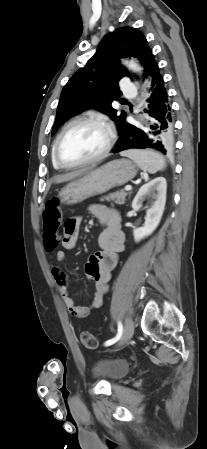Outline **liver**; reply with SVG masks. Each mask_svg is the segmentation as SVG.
Instances as JSON below:
<instances>
[{
    "label": "liver",
    "instance_id": "obj_1",
    "mask_svg": "<svg viewBox=\"0 0 207 449\" xmlns=\"http://www.w3.org/2000/svg\"><path fill=\"white\" fill-rule=\"evenodd\" d=\"M88 171H90V168L89 169H81V170H78V171H73V172H70V173H67V174H64V175H59V176H57L55 178L54 182L56 184H59V183L71 181V180H73V179H75L77 177H80V176L84 175Z\"/></svg>",
    "mask_w": 207,
    "mask_h": 449
}]
</instances>
